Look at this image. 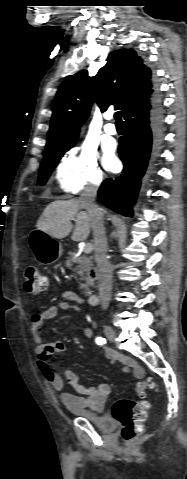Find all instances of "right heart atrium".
<instances>
[{
  "mask_svg": "<svg viewBox=\"0 0 187 479\" xmlns=\"http://www.w3.org/2000/svg\"><path fill=\"white\" fill-rule=\"evenodd\" d=\"M55 176L60 191L68 196L97 188L104 180L97 154L89 147L67 152L58 162Z\"/></svg>",
  "mask_w": 187,
  "mask_h": 479,
  "instance_id": "obj_1",
  "label": "right heart atrium"
}]
</instances>
